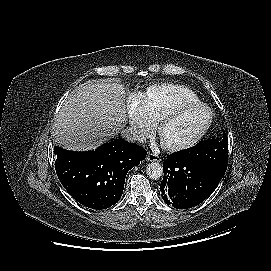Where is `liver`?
Instances as JSON below:
<instances>
[{
	"label": "liver",
	"mask_w": 271,
	"mask_h": 271,
	"mask_svg": "<svg viewBox=\"0 0 271 271\" xmlns=\"http://www.w3.org/2000/svg\"><path fill=\"white\" fill-rule=\"evenodd\" d=\"M122 84L88 81L77 86L60 108L55 142L69 150L95 149L118 135L126 123Z\"/></svg>",
	"instance_id": "1"
}]
</instances>
